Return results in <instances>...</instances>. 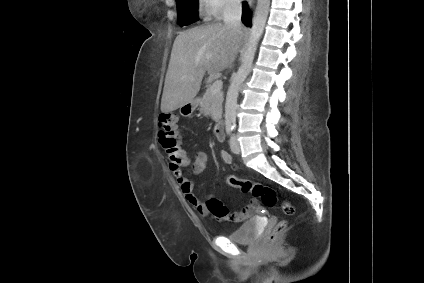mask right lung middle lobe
I'll return each mask as SVG.
<instances>
[{"label": "right lung middle lobe", "mask_w": 424, "mask_h": 283, "mask_svg": "<svg viewBox=\"0 0 424 283\" xmlns=\"http://www.w3.org/2000/svg\"><path fill=\"white\" fill-rule=\"evenodd\" d=\"M178 23L180 26L188 25L198 20V0H176Z\"/></svg>", "instance_id": "right-lung-middle-lobe-1"}]
</instances>
